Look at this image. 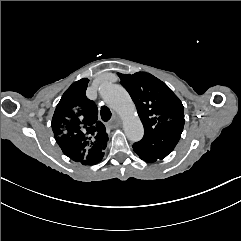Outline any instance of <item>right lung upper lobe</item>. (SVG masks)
Here are the masks:
<instances>
[{
    "instance_id": "1",
    "label": "right lung upper lobe",
    "mask_w": 241,
    "mask_h": 241,
    "mask_svg": "<svg viewBox=\"0 0 241 241\" xmlns=\"http://www.w3.org/2000/svg\"><path fill=\"white\" fill-rule=\"evenodd\" d=\"M88 82L83 78L65 91L51 125L55 140L66 156L83 165H94L104 156L108 134L98 120L97 106L85 95Z\"/></svg>"
}]
</instances>
